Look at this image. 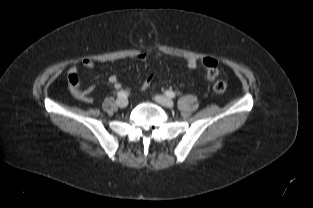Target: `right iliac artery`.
Returning a JSON list of instances; mask_svg holds the SVG:
<instances>
[{"label": "right iliac artery", "mask_w": 313, "mask_h": 208, "mask_svg": "<svg viewBox=\"0 0 313 208\" xmlns=\"http://www.w3.org/2000/svg\"><path fill=\"white\" fill-rule=\"evenodd\" d=\"M117 96H118L119 98H123V97L126 96V92H124L123 90H122V91H119V92L117 93Z\"/></svg>", "instance_id": "obj_1"}]
</instances>
